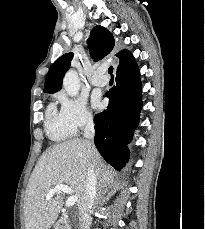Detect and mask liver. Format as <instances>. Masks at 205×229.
I'll list each match as a JSON object with an SVG mask.
<instances>
[{"label": "liver", "mask_w": 205, "mask_h": 229, "mask_svg": "<svg viewBox=\"0 0 205 229\" xmlns=\"http://www.w3.org/2000/svg\"><path fill=\"white\" fill-rule=\"evenodd\" d=\"M101 183L112 182V170L106 167L88 140L72 139L46 150L35 166L25 194L24 217L26 229H49L56 221L63 204L60 192L47 199L46 194L57 184H66L78 196V205L84 194L89 164Z\"/></svg>", "instance_id": "1"}]
</instances>
